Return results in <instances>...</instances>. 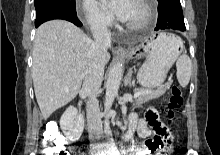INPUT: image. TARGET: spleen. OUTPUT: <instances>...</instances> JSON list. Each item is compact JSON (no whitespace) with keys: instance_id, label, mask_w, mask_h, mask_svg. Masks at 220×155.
Instances as JSON below:
<instances>
[{"instance_id":"3e777b00","label":"spleen","mask_w":220,"mask_h":155,"mask_svg":"<svg viewBox=\"0 0 220 155\" xmlns=\"http://www.w3.org/2000/svg\"><path fill=\"white\" fill-rule=\"evenodd\" d=\"M177 80L183 88H185L192 74V62L187 54H182L176 62Z\"/></svg>"}]
</instances>
